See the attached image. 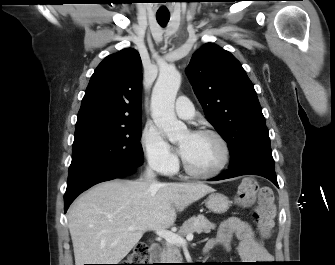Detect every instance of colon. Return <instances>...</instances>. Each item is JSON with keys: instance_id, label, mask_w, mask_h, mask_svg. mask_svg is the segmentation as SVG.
<instances>
[{"instance_id": "5ec220e1", "label": "colon", "mask_w": 335, "mask_h": 265, "mask_svg": "<svg viewBox=\"0 0 335 265\" xmlns=\"http://www.w3.org/2000/svg\"><path fill=\"white\" fill-rule=\"evenodd\" d=\"M236 199L245 207L255 204L254 215L258 230L264 238L269 237L276 216L272 189L260 185L255 178L248 177L240 183ZM148 255V247L138 244L128 256L127 264L122 265H147Z\"/></svg>"}]
</instances>
